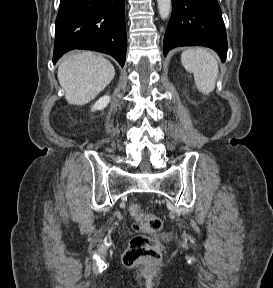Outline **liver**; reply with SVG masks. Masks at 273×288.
I'll list each match as a JSON object with an SVG mask.
<instances>
[{"label":"liver","mask_w":273,"mask_h":288,"mask_svg":"<svg viewBox=\"0 0 273 288\" xmlns=\"http://www.w3.org/2000/svg\"><path fill=\"white\" fill-rule=\"evenodd\" d=\"M57 76L67 102L81 106L104 90L113 80L115 69L107 59L83 51L66 57L58 67Z\"/></svg>","instance_id":"obj_1"}]
</instances>
